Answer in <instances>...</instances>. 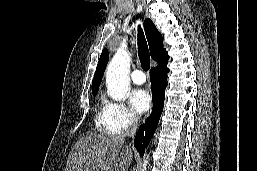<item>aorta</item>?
<instances>
[{
  "instance_id": "obj_1",
  "label": "aorta",
  "mask_w": 257,
  "mask_h": 171,
  "mask_svg": "<svg viewBox=\"0 0 257 171\" xmlns=\"http://www.w3.org/2000/svg\"><path fill=\"white\" fill-rule=\"evenodd\" d=\"M130 61L131 58L128 52L118 50L107 67L106 85L108 95L116 101L124 99L129 90L130 82L128 73ZM147 165L148 156L145 155L142 171H147Z\"/></svg>"
}]
</instances>
